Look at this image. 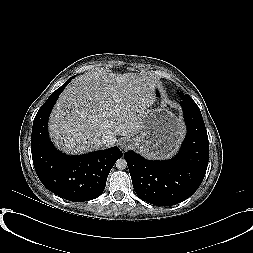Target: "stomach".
I'll return each mask as SVG.
<instances>
[{"label": "stomach", "mask_w": 253, "mask_h": 253, "mask_svg": "<svg viewBox=\"0 0 253 253\" xmlns=\"http://www.w3.org/2000/svg\"><path fill=\"white\" fill-rule=\"evenodd\" d=\"M183 135V124L171 111L147 108L139 135L130 141L132 147L147 158L162 159L176 153Z\"/></svg>", "instance_id": "stomach-1"}]
</instances>
